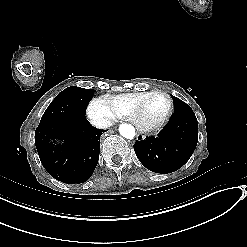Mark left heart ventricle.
Segmentation results:
<instances>
[{
    "label": "left heart ventricle",
    "mask_w": 247,
    "mask_h": 247,
    "mask_svg": "<svg viewBox=\"0 0 247 247\" xmlns=\"http://www.w3.org/2000/svg\"><path fill=\"white\" fill-rule=\"evenodd\" d=\"M165 106L166 99L163 96L155 95L148 99L145 110L149 118L156 119L163 113Z\"/></svg>",
    "instance_id": "1"
}]
</instances>
